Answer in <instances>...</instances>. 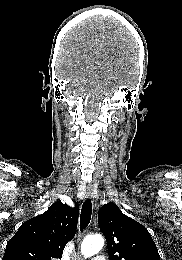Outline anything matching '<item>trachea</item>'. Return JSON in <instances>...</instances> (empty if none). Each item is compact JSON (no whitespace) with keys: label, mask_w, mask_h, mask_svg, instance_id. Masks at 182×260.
Masks as SVG:
<instances>
[{"label":"trachea","mask_w":182,"mask_h":260,"mask_svg":"<svg viewBox=\"0 0 182 260\" xmlns=\"http://www.w3.org/2000/svg\"><path fill=\"white\" fill-rule=\"evenodd\" d=\"M91 214H92V203H91V200L88 199L83 203L82 209H81V214H80L81 231L84 230L90 223Z\"/></svg>","instance_id":"trachea-1"}]
</instances>
